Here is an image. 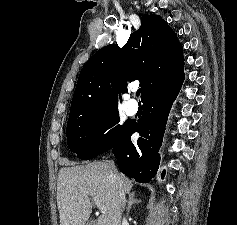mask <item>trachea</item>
Here are the masks:
<instances>
[{
    "instance_id": "1",
    "label": "trachea",
    "mask_w": 237,
    "mask_h": 225,
    "mask_svg": "<svg viewBox=\"0 0 237 225\" xmlns=\"http://www.w3.org/2000/svg\"><path fill=\"white\" fill-rule=\"evenodd\" d=\"M140 92H141V90L139 89V90H137V96H139L140 95Z\"/></svg>"
}]
</instances>
